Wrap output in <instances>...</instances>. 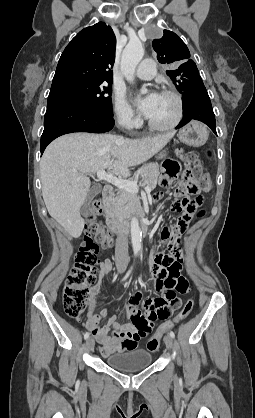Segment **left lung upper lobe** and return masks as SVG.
<instances>
[{
    "label": "left lung upper lobe",
    "instance_id": "1",
    "mask_svg": "<svg viewBox=\"0 0 255 418\" xmlns=\"http://www.w3.org/2000/svg\"><path fill=\"white\" fill-rule=\"evenodd\" d=\"M153 49L157 52V59L162 64L172 65V69L166 71L180 93L204 85L199 71L190 52L181 38L174 32L164 30L162 38L154 39Z\"/></svg>",
    "mask_w": 255,
    "mask_h": 418
}]
</instances>
